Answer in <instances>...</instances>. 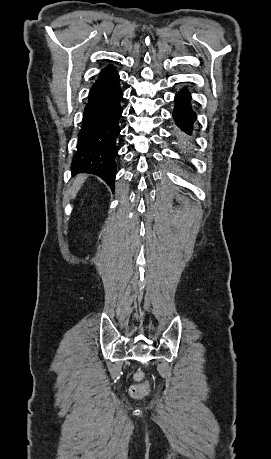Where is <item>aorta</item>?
Segmentation results:
<instances>
[{"instance_id":"1","label":"aorta","mask_w":271,"mask_h":459,"mask_svg":"<svg viewBox=\"0 0 271 459\" xmlns=\"http://www.w3.org/2000/svg\"><path fill=\"white\" fill-rule=\"evenodd\" d=\"M178 142H179L180 149H181L184 153L188 152V150H189L190 147H191V144L188 142L187 137H185L184 135H180V136H179Z\"/></svg>"}]
</instances>
